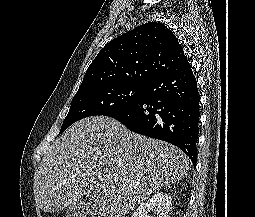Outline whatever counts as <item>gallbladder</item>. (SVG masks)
<instances>
[{
	"label": "gallbladder",
	"instance_id": "gallbladder-1",
	"mask_svg": "<svg viewBox=\"0 0 255 217\" xmlns=\"http://www.w3.org/2000/svg\"><path fill=\"white\" fill-rule=\"evenodd\" d=\"M95 211L89 200L79 201L66 210V217H93Z\"/></svg>",
	"mask_w": 255,
	"mask_h": 217
}]
</instances>
